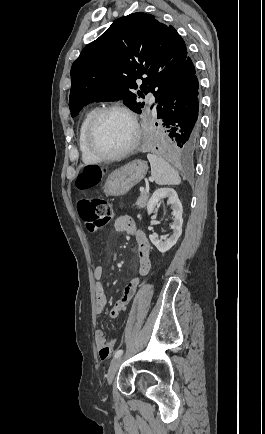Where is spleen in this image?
Wrapping results in <instances>:
<instances>
[{
	"mask_svg": "<svg viewBox=\"0 0 265 434\" xmlns=\"http://www.w3.org/2000/svg\"><path fill=\"white\" fill-rule=\"evenodd\" d=\"M147 160L150 162L151 176L156 184L159 186H174V184L177 186L180 184L181 178L178 172L166 160L155 156V154H147Z\"/></svg>",
	"mask_w": 265,
	"mask_h": 434,
	"instance_id": "obj_1",
	"label": "spleen"
}]
</instances>
